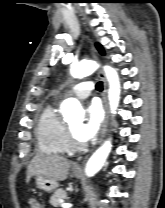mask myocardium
I'll use <instances>...</instances> for the list:
<instances>
[{
	"label": "myocardium",
	"instance_id": "1",
	"mask_svg": "<svg viewBox=\"0 0 165 208\" xmlns=\"http://www.w3.org/2000/svg\"><path fill=\"white\" fill-rule=\"evenodd\" d=\"M65 136L69 150H82L84 148V145L74 137L68 125H65Z\"/></svg>",
	"mask_w": 165,
	"mask_h": 208
}]
</instances>
